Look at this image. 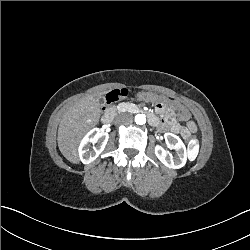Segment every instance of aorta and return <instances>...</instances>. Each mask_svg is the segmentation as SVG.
<instances>
[{"label":"aorta","instance_id":"aorta-1","mask_svg":"<svg viewBox=\"0 0 250 250\" xmlns=\"http://www.w3.org/2000/svg\"><path fill=\"white\" fill-rule=\"evenodd\" d=\"M135 123L138 125H143L146 123V116L145 114H137L135 116Z\"/></svg>","mask_w":250,"mask_h":250}]
</instances>
